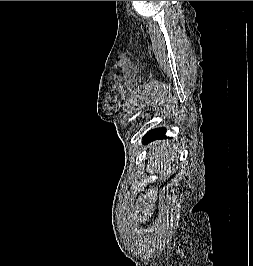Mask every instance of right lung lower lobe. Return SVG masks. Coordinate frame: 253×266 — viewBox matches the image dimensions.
<instances>
[{
    "instance_id": "1",
    "label": "right lung lower lobe",
    "mask_w": 253,
    "mask_h": 266,
    "mask_svg": "<svg viewBox=\"0 0 253 266\" xmlns=\"http://www.w3.org/2000/svg\"><path fill=\"white\" fill-rule=\"evenodd\" d=\"M165 132H166L165 128H157V129L151 130L144 136L143 140L146 143L154 139L165 137L164 136Z\"/></svg>"
}]
</instances>
